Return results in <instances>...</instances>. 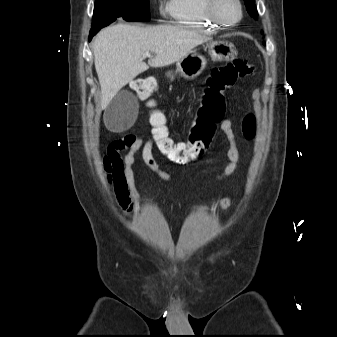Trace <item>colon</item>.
<instances>
[{
    "label": "colon",
    "mask_w": 337,
    "mask_h": 337,
    "mask_svg": "<svg viewBox=\"0 0 337 337\" xmlns=\"http://www.w3.org/2000/svg\"><path fill=\"white\" fill-rule=\"evenodd\" d=\"M254 67L248 61L236 58L225 65L214 68L208 76L199 100L197 118L189 136L184 141H176L167 132L163 116L155 112L151 116L153 126L149 132L154 133L160 153L168 161L186 164L194 161L208 150L226 110V91L241 78L253 73ZM157 81L153 77H141L133 82L134 90L143 98H148L156 89ZM242 132L246 139L252 140L257 132L254 114H247L242 122Z\"/></svg>",
    "instance_id": "1"
}]
</instances>
